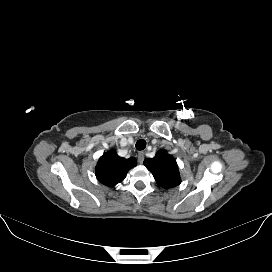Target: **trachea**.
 <instances>
[{"instance_id": "1", "label": "trachea", "mask_w": 272, "mask_h": 272, "mask_svg": "<svg viewBox=\"0 0 272 272\" xmlns=\"http://www.w3.org/2000/svg\"><path fill=\"white\" fill-rule=\"evenodd\" d=\"M136 149L137 150H143L145 149L146 147V141L144 139H139L137 142H136Z\"/></svg>"}]
</instances>
